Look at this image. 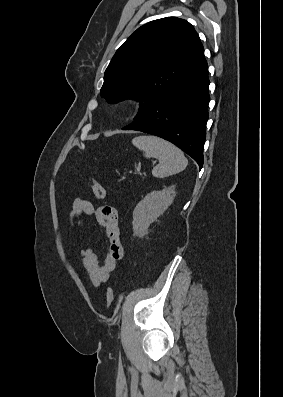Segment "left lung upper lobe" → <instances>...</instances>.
I'll use <instances>...</instances> for the list:
<instances>
[{"instance_id":"1","label":"left lung upper lobe","mask_w":283,"mask_h":397,"mask_svg":"<svg viewBox=\"0 0 283 397\" xmlns=\"http://www.w3.org/2000/svg\"><path fill=\"white\" fill-rule=\"evenodd\" d=\"M206 63L204 48L186 20L166 17L138 28L119 47L104 75L108 103L135 99L140 117L160 96Z\"/></svg>"}]
</instances>
